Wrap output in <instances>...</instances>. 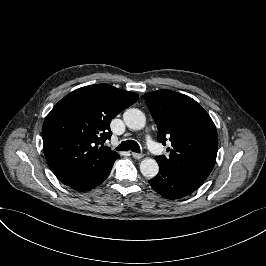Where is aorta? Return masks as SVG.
I'll return each instance as SVG.
<instances>
[{
    "label": "aorta",
    "instance_id": "1",
    "mask_svg": "<svg viewBox=\"0 0 266 266\" xmlns=\"http://www.w3.org/2000/svg\"><path fill=\"white\" fill-rule=\"evenodd\" d=\"M126 126L133 130H141L145 127V114L136 108L127 109L123 114ZM140 171L147 179L154 178L159 172V165L155 159L144 158L140 163Z\"/></svg>",
    "mask_w": 266,
    "mask_h": 266
}]
</instances>
